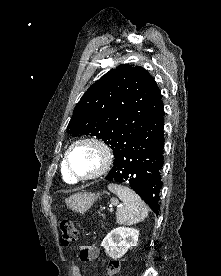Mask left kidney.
<instances>
[{"label":"left kidney","mask_w":221,"mask_h":276,"mask_svg":"<svg viewBox=\"0 0 221 276\" xmlns=\"http://www.w3.org/2000/svg\"><path fill=\"white\" fill-rule=\"evenodd\" d=\"M138 237L137 229L118 227L106 235L101 245L109 257L117 259L121 258L130 247L137 245Z\"/></svg>","instance_id":"1"}]
</instances>
